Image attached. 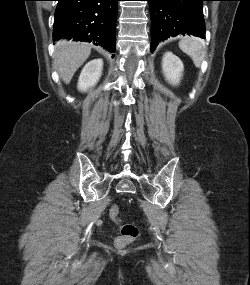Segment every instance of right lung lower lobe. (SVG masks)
<instances>
[{"label":"right lung lower lobe","mask_w":250,"mask_h":285,"mask_svg":"<svg viewBox=\"0 0 250 285\" xmlns=\"http://www.w3.org/2000/svg\"><path fill=\"white\" fill-rule=\"evenodd\" d=\"M53 38L93 42L115 52L119 0H57Z\"/></svg>","instance_id":"98d812e1"}]
</instances>
